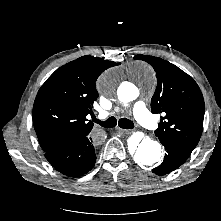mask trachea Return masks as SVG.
I'll use <instances>...</instances> for the list:
<instances>
[{
    "instance_id": "obj_1",
    "label": "trachea",
    "mask_w": 221,
    "mask_h": 221,
    "mask_svg": "<svg viewBox=\"0 0 221 221\" xmlns=\"http://www.w3.org/2000/svg\"><path fill=\"white\" fill-rule=\"evenodd\" d=\"M94 122H96L97 124H99L105 128H113L117 124V120L115 117H110L106 121H100L98 119H94ZM118 125H119V127L123 128V129H133V127H134L133 122L127 118L119 119Z\"/></svg>"
}]
</instances>
